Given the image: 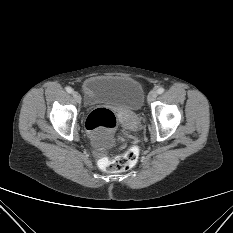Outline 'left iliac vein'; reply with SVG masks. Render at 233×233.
Returning <instances> with one entry per match:
<instances>
[{
  "mask_svg": "<svg viewBox=\"0 0 233 233\" xmlns=\"http://www.w3.org/2000/svg\"><path fill=\"white\" fill-rule=\"evenodd\" d=\"M158 95V92L156 90H152L149 95H148V102L151 103L153 102Z\"/></svg>",
  "mask_w": 233,
  "mask_h": 233,
  "instance_id": "1",
  "label": "left iliac vein"
}]
</instances>
